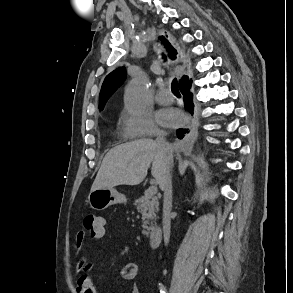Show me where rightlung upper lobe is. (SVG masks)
I'll return each instance as SVG.
<instances>
[{
  "instance_id": "cb5924a9",
  "label": "right lung upper lobe",
  "mask_w": 293,
  "mask_h": 293,
  "mask_svg": "<svg viewBox=\"0 0 293 293\" xmlns=\"http://www.w3.org/2000/svg\"><path fill=\"white\" fill-rule=\"evenodd\" d=\"M159 39L162 41L164 46L167 48L168 52L171 54V58H176V49L172 46V44L166 39L165 36H160ZM126 78V70L125 67H120L110 74H108L103 82L100 98H99V109L102 110L107 99L111 96V94L117 89V87L125 80ZM188 76H183L180 84L186 81Z\"/></svg>"
}]
</instances>
